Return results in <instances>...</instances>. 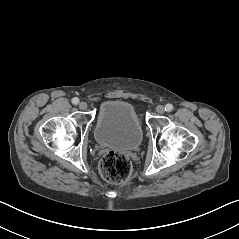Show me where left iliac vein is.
Listing matches in <instances>:
<instances>
[{"instance_id": "left-iliac-vein-1", "label": "left iliac vein", "mask_w": 239, "mask_h": 239, "mask_svg": "<svg viewBox=\"0 0 239 239\" xmlns=\"http://www.w3.org/2000/svg\"><path fill=\"white\" fill-rule=\"evenodd\" d=\"M156 111L158 114H163L165 112V107L163 105H158Z\"/></svg>"}]
</instances>
